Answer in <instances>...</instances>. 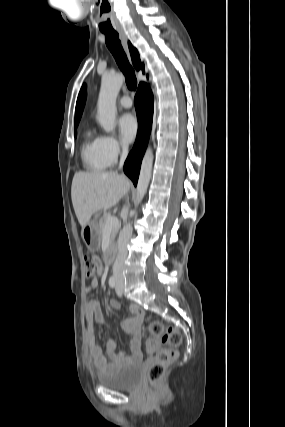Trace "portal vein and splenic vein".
Returning a JSON list of instances; mask_svg holds the SVG:
<instances>
[{
    "instance_id": "obj_1",
    "label": "portal vein and splenic vein",
    "mask_w": 285,
    "mask_h": 427,
    "mask_svg": "<svg viewBox=\"0 0 285 427\" xmlns=\"http://www.w3.org/2000/svg\"><path fill=\"white\" fill-rule=\"evenodd\" d=\"M117 225H119L118 218L111 216V215H108L107 222H106V225L104 227V231L111 230L113 227H116Z\"/></svg>"
}]
</instances>
